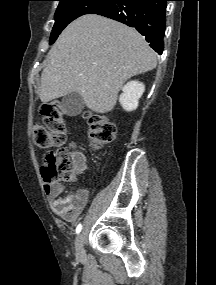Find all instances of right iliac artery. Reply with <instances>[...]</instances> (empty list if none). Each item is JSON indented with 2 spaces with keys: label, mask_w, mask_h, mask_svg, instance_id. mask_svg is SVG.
Segmentation results:
<instances>
[{
  "label": "right iliac artery",
  "mask_w": 216,
  "mask_h": 285,
  "mask_svg": "<svg viewBox=\"0 0 216 285\" xmlns=\"http://www.w3.org/2000/svg\"><path fill=\"white\" fill-rule=\"evenodd\" d=\"M82 230V225L79 224L77 227H76V233H80V231Z\"/></svg>",
  "instance_id": "1"
}]
</instances>
